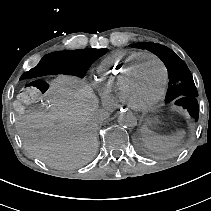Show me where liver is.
<instances>
[{
    "instance_id": "liver-1",
    "label": "liver",
    "mask_w": 211,
    "mask_h": 211,
    "mask_svg": "<svg viewBox=\"0 0 211 211\" xmlns=\"http://www.w3.org/2000/svg\"><path fill=\"white\" fill-rule=\"evenodd\" d=\"M50 107L19 115L17 131L26 149L58 169L87 164L98 149L97 103L79 79L59 77L48 90Z\"/></svg>"
}]
</instances>
